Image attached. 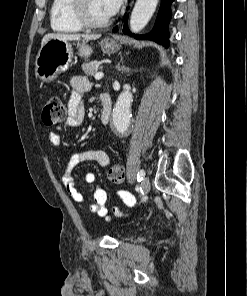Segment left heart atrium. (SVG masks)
<instances>
[{"instance_id":"obj_1","label":"left heart atrium","mask_w":247,"mask_h":296,"mask_svg":"<svg viewBox=\"0 0 247 296\" xmlns=\"http://www.w3.org/2000/svg\"><path fill=\"white\" fill-rule=\"evenodd\" d=\"M108 17L113 16L119 10L122 0H101Z\"/></svg>"}]
</instances>
